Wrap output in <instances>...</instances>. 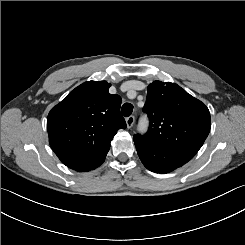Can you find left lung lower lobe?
<instances>
[{"instance_id": "0a47b994", "label": "left lung lower lobe", "mask_w": 245, "mask_h": 245, "mask_svg": "<svg viewBox=\"0 0 245 245\" xmlns=\"http://www.w3.org/2000/svg\"><path fill=\"white\" fill-rule=\"evenodd\" d=\"M137 153L144 166L155 173L166 174L183 166L188 161L164 149H154L135 143Z\"/></svg>"}]
</instances>
